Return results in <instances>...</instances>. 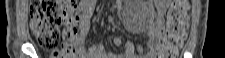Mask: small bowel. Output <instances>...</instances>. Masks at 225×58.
I'll use <instances>...</instances> for the list:
<instances>
[{"instance_id":"1","label":"small bowel","mask_w":225,"mask_h":58,"mask_svg":"<svg viewBox=\"0 0 225 58\" xmlns=\"http://www.w3.org/2000/svg\"><path fill=\"white\" fill-rule=\"evenodd\" d=\"M153 5L157 11V17L148 27L150 37L145 48L139 47L136 50V47L132 42H123L119 37H115L113 43L116 47L122 48V53L114 54L108 51L102 42L96 43L88 49L85 48L84 43L88 36L91 18L95 11L96 0L82 1L80 3L82 14L80 18L79 33L74 41L77 51L75 58H138L139 55L137 52H141L144 49L149 51L147 57H154L163 33V17L169 5V1H155Z\"/></svg>"}]
</instances>
